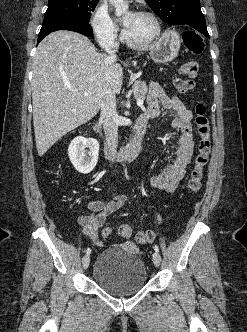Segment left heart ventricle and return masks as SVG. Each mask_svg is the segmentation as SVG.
Returning a JSON list of instances; mask_svg holds the SVG:
<instances>
[{
    "label": "left heart ventricle",
    "instance_id": "b2bd125f",
    "mask_svg": "<svg viewBox=\"0 0 247 332\" xmlns=\"http://www.w3.org/2000/svg\"><path fill=\"white\" fill-rule=\"evenodd\" d=\"M154 25L150 18L134 14L130 25L125 29L126 35L132 41H142L153 32Z\"/></svg>",
    "mask_w": 247,
    "mask_h": 332
}]
</instances>
